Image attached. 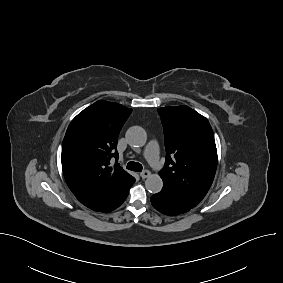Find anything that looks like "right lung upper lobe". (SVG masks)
<instances>
[{
    "mask_svg": "<svg viewBox=\"0 0 283 283\" xmlns=\"http://www.w3.org/2000/svg\"><path fill=\"white\" fill-rule=\"evenodd\" d=\"M132 109L100 100L80 112L70 123L62 144V170L77 199L94 211L115 203L134 177L119 164L117 139Z\"/></svg>",
    "mask_w": 283,
    "mask_h": 283,
    "instance_id": "right-lung-upper-lobe-1",
    "label": "right lung upper lobe"
}]
</instances>
